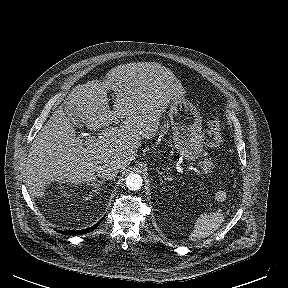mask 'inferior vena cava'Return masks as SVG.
<instances>
[{
  "mask_svg": "<svg viewBox=\"0 0 288 288\" xmlns=\"http://www.w3.org/2000/svg\"><path fill=\"white\" fill-rule=\"evenodd\" d=\"M121 169V165L115 163V161L105 162L100 165H97L95 171L98 177L106 180H111L118 174Z\"/></svg>",
  "mask_w": 288,
  "mask_h": 288,
  "instance_id": "inferior-vena-cava-1",
  "label": "inferior vena cava"
}]
</instances>
